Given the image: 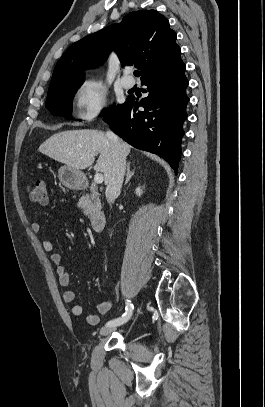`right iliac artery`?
<instances>
[{"label": "right iliac artery", "mask_w": 265, "mask_h": 407, "mask_svg": "<svg viewBox=\"0 0 265 407\" xmlns=\"http://www.w3.org/2000/svg\"><path fill=\"white\" fill-rule=\"evenodd\" d=\"M133 309H134L133 304L131 303L130 300H127L126 301V308H125L126 311H125V313L119 318L108 321L106 323V326H117V325H121V324L127 322L130 319L131 315H132Z\"/></svg>", "instance_id": "82829eb1"}]
</instances>
